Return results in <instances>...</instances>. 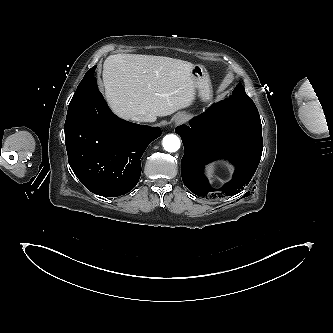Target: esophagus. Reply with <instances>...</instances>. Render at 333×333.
<instances>
[{
	"label": "esophagus",
	"mask_w": 333,
	"mask_h": 333,
	"mask_svg": "<svg viewBox=\"0 0 333 333\" xmlns=\"http://www.w3.org/2000/svg\"><path fill=\"white\" fill-rule=\"evenodd\" d=\"M185 120V116L184 115H179L176 119H175V125H179L181 123H183Z\"/></svg>",
	"instance_id": "obj_1"
}]
</instances>
